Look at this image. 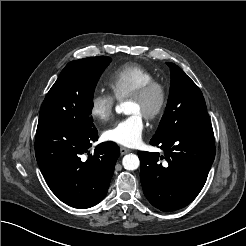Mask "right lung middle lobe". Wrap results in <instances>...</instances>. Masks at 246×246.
Masks as SVG:
<instances>
[{"label": "right lung middle lobe", "mask_w": 246, "mask_h": 246, "mask_svg": "<svg viewBox=\"0 0 246 246\" xmlns=\"http://www.w3.org/2000/svg\"><path fill=\"white\" fill-rule=\"evenodd\" d=\"M110 62V57L97 56L68 63L44 99L38 126L95 128L90 116L94 90Z\"/></svg>", "instance_id": "dd1d6c3e"}]
</instances>
